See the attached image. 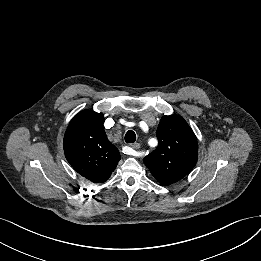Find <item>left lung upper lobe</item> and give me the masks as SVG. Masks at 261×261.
Wrapping results in <instances>:
<instances>
[{"label":"left lung upper lobe","mask_w":261,"mask_h":261,"mask_svg":"<svg viewBox=\"0 0 261 261\" xmlns=\"http://www.w3.org/2000/svg\"><path fill=\"white\" fill-rule=\"evenodd\" d=\"M156 135L158 147L144 158V163L160 184L171 185L195 166L197 139L186 121L178 115L163 116Z\"/></svg>","instance_id":"1"}]
</instances>
